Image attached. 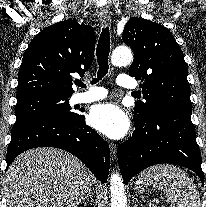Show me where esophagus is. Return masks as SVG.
<instances>
[{
  "label": "esophagus",
  "mask_w": 206,
  "mask_h": 207,
  "mask_svg": "<svg viewBox=\"0 0 206 207\" xmlns=\"http://www.w3.org/2000/svg\"><path fill=\"white\" fill-rule=\"evenodd\" d=\"M99 20L103 26H107L111 23V17L107 10H101L99 12ZM110 152L113 160L117 157V145L110 143Z\"/></svg>",
  "instance_id": "esophagus-1"
}]
</instances>
